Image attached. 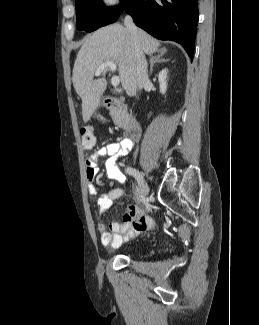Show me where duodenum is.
<instances>
[{"instance_id":"duodenum-1","label":"duodenum","mask_w":259,"mask_h":325,"mask_svg":"<svg viewBox=\"0 0 259 325\" xmlns=\"http://www.w3.org/2000/svg\"><path fill=\"white\" fill-rule=\"evenodd\" d=\"M103 106L106 109H111L116 107L124 111L125 121H126L125 139L136 140L140 137L141 135L140 123L137 121V119L134 116H132L126 111L123 102L111 97H106L103 100Z\"/></svg>"}]
</instances>
